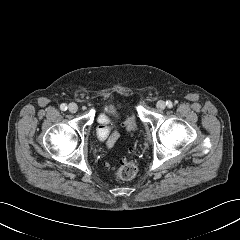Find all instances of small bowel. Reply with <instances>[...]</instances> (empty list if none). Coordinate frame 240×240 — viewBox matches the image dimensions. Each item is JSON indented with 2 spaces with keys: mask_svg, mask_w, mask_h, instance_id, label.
Segmentation results:
<instances>
[{
  "mask_svg": "<svg viewBox=\"0 0 240 240\" xmlns=\"http://www.w3.org/2000/svg\"><path fill=\"white\" fill-rule=\"evenodd\" d=\"M97 120L101 124L97 129V137L100 140H106L107 147L111 148L116 143L120 135L118 132L110 134L111 118L106 113L99 114Z\"/></svg>",
  "mask_w": 240,
  "mask_h": 240,
  "instance_id": "c3829d8e",
  "label": "small bowel"
}]
</instances>
